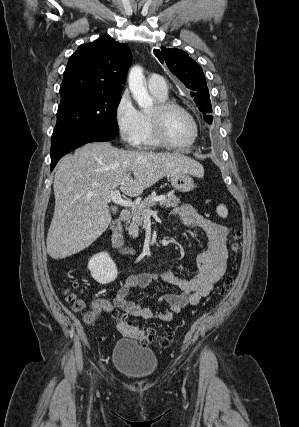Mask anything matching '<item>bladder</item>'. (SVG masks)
Returning a JSON list of instances; mask_svg holds the SVG:
<instances>
[{"instance_id":"1","label":"bladder","mask_w":299,"mask_h":427,"mask_svg":"<svg viewBox=\"0 0 299 427\" xmlns=\"http://www.w3.org/2000/svg\"><path fill=\"white\" fill-rule=\"evenodd\" d=\"M113 362L116 370L133 380H146L157 369L155 353L135 340L122 338L113 348Z\"/></svg>"}]
</instances>
